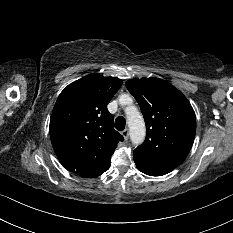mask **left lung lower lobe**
I'll use <instances>...</instances> for the list:
<instances>
[{
	"label": "left lung lower lobe",
	"mask_w": 233,
	"mask_h": 233,
	"mask_svg": "<svg viewBox=\"0 0 233 233\" xmlns=\"http://www.w3.org/2000/svg\"><path fill=\"white\" fill-rule=\"evenodd\" d=\"M133 158L137 168L141 172L150 176H162L171 172L175 168L154 159L145 157L135 150L133 152Z\"/></svg>",
	"instance_id": "obj_1"
}]
</instances>
